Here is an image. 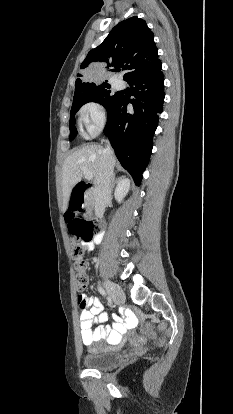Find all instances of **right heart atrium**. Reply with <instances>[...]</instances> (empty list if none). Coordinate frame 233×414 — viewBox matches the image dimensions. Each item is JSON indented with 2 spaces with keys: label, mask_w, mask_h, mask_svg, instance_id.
I'll use <instances>...</instances> for the list:
<instances>
[{
  "label": "right heart atrium",
  "mask_w": 233,
  "mask_h": 414,
  "mask_svg": "<svg viewBox=\"0 0 233 414\" xmlns=\"http://www.w3.org/2000/svg\"><path fill=\"white\" fill-rule=\"evenodd\" d=\"M79 116L90 136L99 134L107 122V111L97 101H90L84 104L79 111Z\"/></svg>",
  "instance_id": "right-heart-atrium-1"
}]
</instances>
